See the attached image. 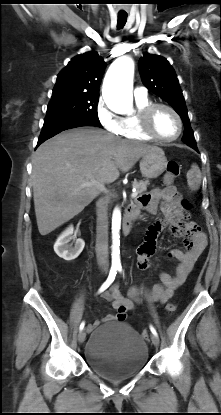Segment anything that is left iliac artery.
Returning <instances> with one entry per match:
<instances>
[{
    "instance_id": "1",
    "label": "left iliac artery",
    "mask_w": 221,
    "mask_h": 415,
    "mask_svg": "<svg viewBox=\"0 0 221 415\" xmlns=\"http://www.w3.org/2000/svg\"><path fill=\"white\" fill-rule=\"evenodd\" d=\"M117 269H118V271H119V272H121V271H122V267H121V266H118V267H117ZM150 330H151V332H152L154 335H157V331H156V329H155L152 325H150Z\"/></svg>"
}]
</instances>
